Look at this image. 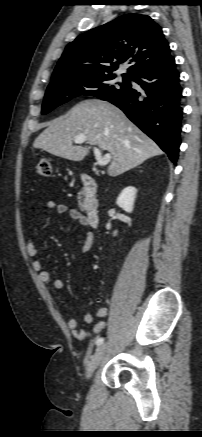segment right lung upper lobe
<instances>
[{"label": "right lung upper lobe", "mask_w": 202, "mask_h": 437, "mask_svg": "<svg viewBox=\"0 0 202 437\" xmlns=\"http://www.w3.org/2000/svg\"><path fill=\"white\" fill-rule=\"evenodd\" d=\"M170 56L169 44L157 23L147 15L126 14L69 43L53 72L52 82L114 73L128 59L133 62L128 73L134 76Z\"/></svg>", "instance_id": "obj_1"}]
</instances>
